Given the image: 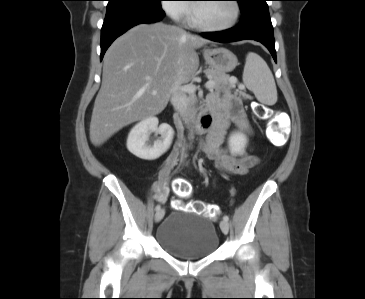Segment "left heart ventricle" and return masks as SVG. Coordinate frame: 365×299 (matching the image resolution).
<instances>
[{
	"instance_id": "obj_1",
	"label": "left heart ventricle",
	"mask_w": 365,
	"mask_h": 299,
	"mask_svg": "<svg viewBox=\"0 0 365 299\" xmlns=\"http://www.w3.org/2000/svg\"><path fill=\"white\" fill-rule=\"evenodd\" d=\"M198 19L209 26H223L230 23L234 17L232 2L198 3L195 4Z\"/></svg>"
}]
</instances>
